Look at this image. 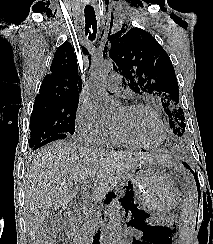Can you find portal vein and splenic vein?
<instances>
[{"mask_svg":"<svg viewBox=\"0 0 213 244\" xmlns=\"http://www.w3.org/2000/svg\"><path fill=\"white\" fill-rule=\"evenodd\" d=\"M83 185H86V183H83ZM83 189H85V188H83Z\"/></svg>","mask_w":213,"mask_h":244,"instance_id":"obj_1","label":"portal vein and splenic vein"}]
</instances>
